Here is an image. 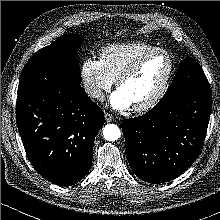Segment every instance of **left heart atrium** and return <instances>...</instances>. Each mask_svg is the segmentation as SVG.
Returning a JSON list of instances; mask_svg holds the SVG:
<instances>
[{
  "label": "left heart atrium",
  "mask_w": 220,
  "mask_h": 220,
  "mask_svg": "<svg viewBox=\"0 0 220 220\" xmlns=\"http://www.w3.org/2000/svg\"><path fill=\"white\" fill-rule=\"evenodd\" d=\"M109 102L113 108L119 110H125L132 106L130 99L119 88L114 93H112Z\"/></svg>",
  "instance_id": "left-heart-atrium-1"
}]
</instances>
